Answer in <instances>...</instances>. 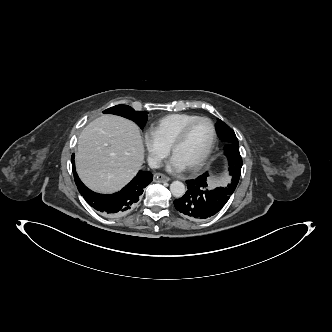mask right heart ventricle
Instances as JSON below:
<instances>
[{
  "label": "right heart ventricle",
  "instance_id": "1",
  "mask_svg": "<svg viewBox=\"0 0 332 332\" xmlns=\"http://www.w3.org/2000/svg\"><path fill=\"white\" fill-rule=\"evenodd\" d=\"M197 117L199 116L185 113L169 114L160 118L152 126L151 131L164 146L169 148L180 130Z\"/></svg>",
  "mask_w": 332,
  "mask_h": 332
}]
</instances>
